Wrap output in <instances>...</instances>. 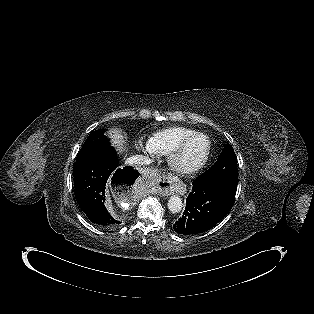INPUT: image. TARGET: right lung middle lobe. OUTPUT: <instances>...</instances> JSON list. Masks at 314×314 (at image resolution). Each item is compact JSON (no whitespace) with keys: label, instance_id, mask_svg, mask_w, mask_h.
Listing matches in <instances>:
<instances>
[{"label":"right lung middle lobe","instance_id":"dd1d6c3e","mask_svg":"<svg viewBox=\"0 0 314 314\" xmlns=\"http://www.w3.org/2000/svg\"><path fill=\"white\" fill-rule=\"evenodd\" d=\"M109 146V140L104 135L103 129L93 131L88 136L81 150L79 151L76 159V164L89 159L90 157L96 155L97 153L106 149Z\"/></svg>","mask_w":314,"mask_h":314}]
</instances>
